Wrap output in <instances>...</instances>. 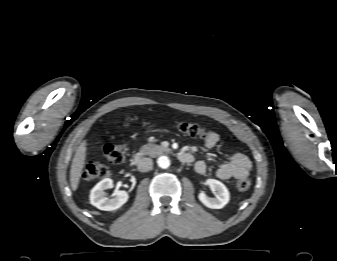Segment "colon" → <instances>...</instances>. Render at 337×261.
Masks as SVG:
<instances>
[{"label": "colon", "mask_w": 337, "mask_h": 261, "mask_svg": "<svg viewBox=\"0 0 337 261\" xmlns=\"http://www.w3.org/2000/svg\"><path fill=\"white\" fill-rule=\"evenodd\" d=\"M133 122V119H128ZM174 128L180 133L193 137L205 139L207 131L204 127L190 122H178ZM104 155L110 164H119L124 161L126 148L122 144L108 143L104 146ZM109 175V169L98 161H89L84 167L82 177L85 180H96ZM234 188L238 191H247L250 188V181L246 178L238 179L234 182Z\"/></svg>", "instance_id": "obj_1"}]
</instances>
